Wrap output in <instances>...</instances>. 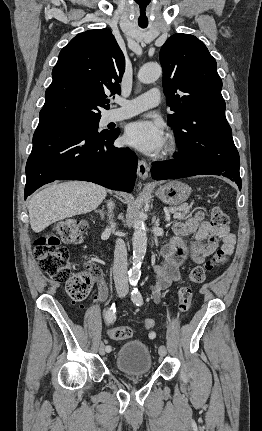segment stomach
I'll return each instance as SVG.
<instances>
[{"instance_id": "1", "label": "stomach", "mask_w": 262, "mask_h": 431, "mask_svg": "<svg viewBox=\"0 0 262 431\" xmlns=\"http://www.w3.org/2000/svg\"><path fill=\"white\" fill-rule=\"evenodd\" d=\"M155 194L162 202L177 207L190 196L191 188L181 181L173 180L160 186Z\"/></svg>"}]
</instances>
